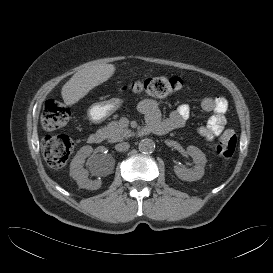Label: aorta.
Listing matches in <instances>:
<instances>
[{
  "label": "aorta",
  "instance_id": "1",
  "mask_svg": "<svg viewBox=\"0 0 273 273\" xmlns=\"http://www.w3.org/2000/svg\"><path fill=\"white\" fill-rule=\"evenodd\" d=\"M138 148L142 153H152L155 150V142L152 139L144 138L139 142Z\"/></svg>",
  "mask_w": 273,
  "mask_h": 273
}]
</instances>
